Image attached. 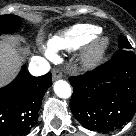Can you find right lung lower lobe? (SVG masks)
I'll list each match as a JSON object with an SVG mask.
<instances>
[{"mask_svg":"<svg viewBox=\"0 0 136 136\" xmlns=\"http://www.w3.org/2000/svg\"><path fill=\"white\" fill-rule=\"evenodd\" d=\"M51 73L32 76L24 67L9 85L0 88V136H22L36 124Z\"/></svg>","mask_w":136,"mask_h":136,"instance_id":"right-lung-lower-lobe-1","label":"right lung lower lobe"}]
</instances>
